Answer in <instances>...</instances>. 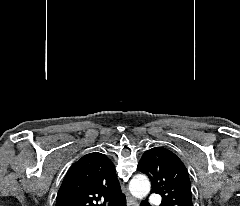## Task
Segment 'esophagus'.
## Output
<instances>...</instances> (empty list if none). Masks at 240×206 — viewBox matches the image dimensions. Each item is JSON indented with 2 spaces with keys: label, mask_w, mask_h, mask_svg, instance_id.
Here are the masks:
<instances>
[{
  "label": "esophagus",
  "mask_w": 240,
  "mask_h": 206,
  "mask_svg": "<svg viewBox=\"0 0 240 206\" xmlns=\"http://www.w3.org/2000/svg\"><path fill=\"white\" fill-rule=\"evenodd\" d=\"M127 206H139L137 200L133 198L130 194L126 195Z\"/></svg>",
  "instance_id": "34e87169"
}]
</instances>
